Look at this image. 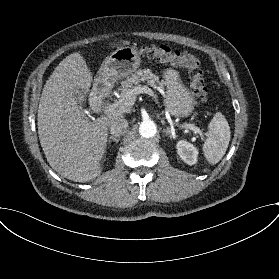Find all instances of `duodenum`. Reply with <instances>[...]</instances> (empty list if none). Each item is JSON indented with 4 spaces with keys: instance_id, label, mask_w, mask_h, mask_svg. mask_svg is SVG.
<instances>
[{
    "instance_id": "duodenum-1",
    "label": "duodenum",
    "mask_w": 279,
    "mask_h": 279,
    "mask_svg": "<svg viewBox=\"0 0 279 279\" xmlns=\"http://www.w3.org/2000/svg\"><path fill=\"white\" fill-rule=\"evenodd\" d=\"M105 95V85L103 82H97L90 95L91 107L94 111H100L103 106V99Z\"/></svg>"
}]
</instances>
